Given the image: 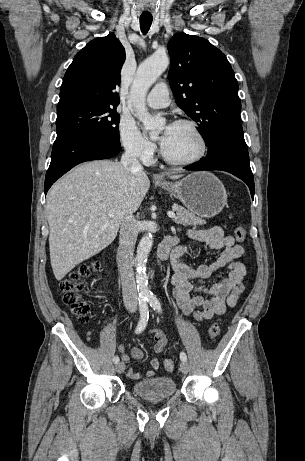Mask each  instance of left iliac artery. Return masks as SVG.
Instances as JSON below:
<instances>
[{"mask_svg": "<svg viewBox=\"0 0 305 461\" xmlns=\"http://www.w3.org/2000/svg\"><path fill=\"white\" fill-rule=\"evenodd\" d=\"M146 298H147V301L149 302L150 306L154 310H156L159 313L162 312L161 304H160L158 298L154 294H150V295L146 296ZM180 359H181V361H187V356H186V354L184 352L180 353Z\"/></svg>", "mask_w": 305, "mask_h": 461, "instance_id": "obj_1", "label": "left iliac artery"}]
</instances>
